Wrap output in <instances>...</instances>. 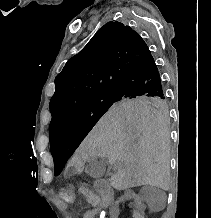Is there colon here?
Returning a JSON list of instances; mask_svg holds the SVG:
<instances>
[{
  "label": "colon",
  "instance_id": "5ec220e1",
  "mask_svg": "<svg viewBox=\"0 0 211 218\" xmlns=\"http://www.w3.org/2000/svg\"><path fill=\"white\" fill-rule=\"evenodd\" d=\"M58 197L62 203H72L75 198L73 186L70 184L63 186L59 191Z\"/></svg>",
  "mask_w": 211,
  "mask_h": 218
}]
</instances>
